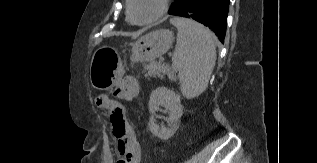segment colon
<instances>
[{
	"instance_id": "1",
	"label": "colon",
	"mask_w": 317,
	"mask_h": 163,
	"mask_svg": "<svg viewBox=\"0 0 317 163\" xmlns=\"http://www.w3.org/2000/svg\"><path fill=\"white\" fill-rule=\"evenodd\" d=\"M95 104L98 108L109 111V119L114 132L122 133L125 130L126 118L121 105L111 102L106 94H98L95 97Z\"/></svg>"
}]
</instances>
